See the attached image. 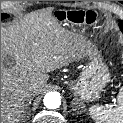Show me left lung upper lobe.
I'll use <instances>...</instances> for the list:
<instances>
[{"instance_id": "1", "label": "left lung upper lobe", "mask_w": 123, "mask_h": 123, "mask_svg": "<svg viewBox=\"0 0 123 123\" xmlns=\"http://www.w3.org/2000/svg\"><path fill=\"white\" fill-rule=\"evenodd\" d=\"M119 26H120V28H121V30L123 32V21H120Z\"/></svg>"}]
</instances>
